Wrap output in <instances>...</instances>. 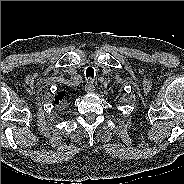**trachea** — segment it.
Instances as JSON below:
<instances>
[{
	"label": "trachea",
	"instance_id": "3493384b",
	"mask_svg": "<svg viewBox=\"0 0 184 184\" xmlns=\"http://www.w3.org/2000/svg\"><path fill=\"white\" fill-rule=\"evenodd\" d=\"M86 77L93 78L94 77V69L92 67H88L86 69Z\"/></svg>",
	"mask_w": 184,
	"mask_h": 184
}]
</instances>
